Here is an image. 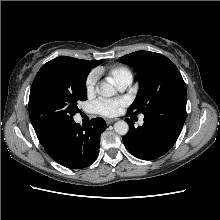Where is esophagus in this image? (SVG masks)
<instances>
[{
    "label": "esophagus",
    "instance_id": "34e87169",
    "mask_svg": "<svg viewBox=\"0 0 220 220\" xmlns=\"http://www.w3.org/2000/svg\"><path fill=\"white\" fill-rule=\"evenodd\" d=\"M115 121H116V119H106L107 125H110V124H112Z\"/></svg>",
    "mask_w": 220,
    "mask_h": 220
}]
</instances>
